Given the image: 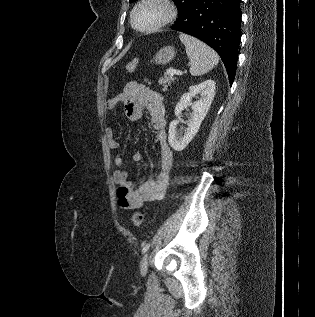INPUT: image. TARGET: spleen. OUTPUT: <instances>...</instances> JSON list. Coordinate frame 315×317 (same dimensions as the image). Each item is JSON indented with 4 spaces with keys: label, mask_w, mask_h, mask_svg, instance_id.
Returning a JSON list of instances; mask_svg holds the SVG:
<instances>
[{
    "label": "spleen",
    "mask_w": 315,
    "mask_h": 317,
    "mask_svg": "<svg viewBox=\"0 0 315 317\" xmlns=\"http://www.w3.org/2000/svg\"><path fill=\"white\" fill-rule=\"evenodd\" d=\"M181 42L185 45L186 54L190 61V73L201 76L213 69L219 62L217 53L199 39L181 33Z\"/></svg>",
    "instance_id": "1"
}]
</instances>
